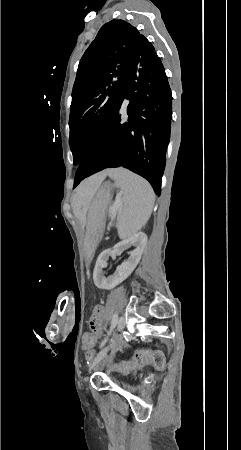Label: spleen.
<instances>
[{
	"label": "spleen",
	"instance_id": "3e777b00",
	"mask_svg": "<svg viewBox=\"0 0 241 450\" xmlns=\"http://www.w3.org/2000/svg\"><path fill=\"white\" fill-rule=\"evenodd\" d=\"M109 178L123 192V206L118 216V234L121 240L139 232L148 222L155 204V194L147 180L123 170H109Z\"/></svg>",
	"mask_w": 241,
	"mask_h": 450
}]
</instances>
